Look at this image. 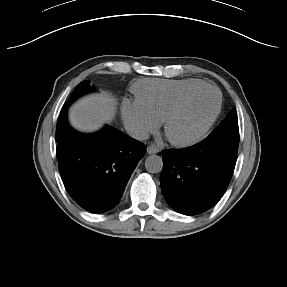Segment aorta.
<instances>
[{"label": "aorta", "mask_w": 287, "mask_h": 287, "mask_svg": "<svg viewBox=\"0 0 287 287\" xmlns=\"http://www.w3.org/2000/svg\"><path fill=\"white\" fill-rule=\"evenodd\" d=\"M145 168L149 173H159L163 168L162 158L158 155H149L145 160Z\"/></svg>", "instance_id": "762f6f07"}]
</instances>
